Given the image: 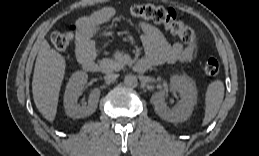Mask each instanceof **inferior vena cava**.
I'll return each mask as SVG.
<instances>
[{
    "label": "inferior vena cava",
    "mask_w": 259,
    "mask_h": 156,
    "mask_svg": "<svg viewBox=\"0 0 259 156\" xmlns=\"http://www.w3.org/2000/svg\"><path fill=\"white\" fill-rule=\"evenodd\" d=\"M118 78V74L110 73L105 76V80L108 82H114Z\"/></svg>",
    "instance_id": "1"
}]
</instances>
